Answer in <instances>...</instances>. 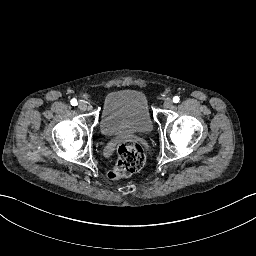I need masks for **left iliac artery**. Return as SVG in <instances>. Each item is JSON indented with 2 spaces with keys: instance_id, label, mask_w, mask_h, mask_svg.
Instances as JSON below:
<instances>
[{
  "instance_id": "left-iliac-artery-1",
  "label": "left iliac artery",
  "mask_w": 256,
  "mask_h": 256,
  "mask_svg": "<svg viewBox=\"0 0 256 256\" xmlns=\"http://www.w3.org/2000/svg\"><path fill=\"white\" fill-rule=\"evenodd\" d=\"M179 100H180V98H179L178 96H175V97L173 98V102H174V103H178Z\"/></svg>"
}]
</instances>
